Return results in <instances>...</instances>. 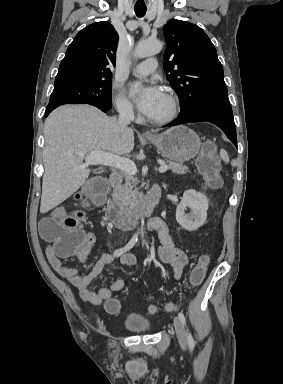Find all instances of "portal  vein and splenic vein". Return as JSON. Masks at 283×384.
<instances>
[{
  "label": "portal vein and splenic vein",
  "instance_id": "obj_1",
  "mask_svg": "<svg viewBox=\"0 0 283 384\" xmlns=\"http://www.w3.org/2000/svg\"><path fill=\"white\" fill-rule=\"evenodd\" d=\"M79 156H86V164H104V166H111V168H118L122 170L128 176H134L137 172V168L132 160L127 158H121V156H114V154H108V152H102V150H93L88 154H79ZM168 166L160 164L158 172H167Z\"/></svg>",
  "mask_w": 283,
  "mask_h": 384
}]
</instances>
